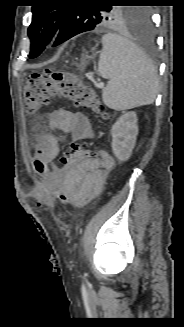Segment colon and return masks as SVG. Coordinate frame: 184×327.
I'll return each instance as SVG.
<instances>
[{"label": "colon", "mask_w": 184, "mask_h": 327, "mask_svg": "<svg viewBox=\"0 0 184 327\" xmlns=\"http://www.w3.org/2000/svg\"><path fill=\"white\" fill-rule=\"evenodd\" d=\"M23 97L26 112L30 114L48 105L52 99L59 97L72 101L77 107L91 109L101 116H105L104 106L98 100L93 89L80 76L68 71L46 70L32 75L25 85ZM70 151L86 156L94 155V150L84 144L73 145ZM39 170L49 181H54L46 164L40 163ZM53 198L68 206H80L85 203L75 200L60 189L54 191Z\"/></svg>", "instance_id": "obj_1"}]
</instances>
